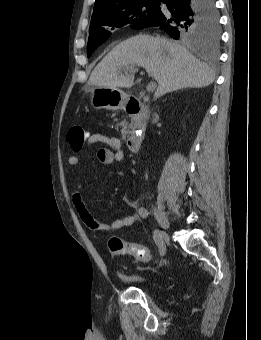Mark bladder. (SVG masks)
<instances>
[{
	"instance_id": "obj_1",
	"label": "bladder",
	"mask_w": 261,
	"mask_h": 340,
	"mask_svg": "<svg viewBox=\"0 0 261 340\" xmlns=\"http://www.w3.org/2000/svg\"><path fill=\"white\" fill-rule=\"evenodd\" d=\"M120 277L123 280L129 281V282H133V283H144V282H148L149 281L148 279L143 278L141 276H137V275L120 274Z\"/></svg>"
}]
</instances>
